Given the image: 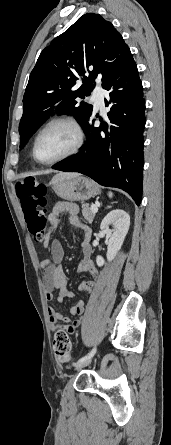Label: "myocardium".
<instances>
[{"mask_svg": "<svg viewBox=\"0 0 171 445\" xmlns=\"http://www.w3.org/2000/svg\"><path fill=\"white\" fill-rule=\"evenodd\" d=\"M56 125H66L73 130V132L75 134L74 144L68 151H66L65 153H63L62 155H60L59 157H57L55 159H52L49 161L40 160L37 156V151H36L38 141L44 132H46L49 128L56 126ZM84 139H85V133H84L83 127L77 120H75L72 117L53 118L50 121H48L37 133V135L34 139V142H33V146H32V156L36 162H38L42 165H52V164L58 163L66 158H69V157L75 155L81 149V147L84 143Z\"/></svg>", "mask_w": 171, "mask_h": 445, "instance_id": "1", "label": "myocardium"}]
</instances>
